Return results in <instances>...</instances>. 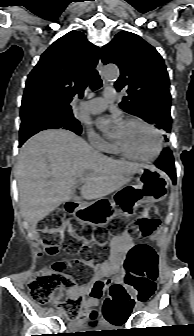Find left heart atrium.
Masks as SVG:
<instances>
[{
	"mask_svg": "<svg viewBox=\"0 0 194 336\" xmlns=\"http://www.w3.org/2000/svg\"><path fill=\"white\" fill-rule=\"evenodd\" d=\"M98 127L103 130L107 131L109 129H114L115 133H119L123 128V123L116 117H103L100 118L97 122Z\"/></svg>",
	"mask_w": 194,
	"mask_h": 336,
	"instance_id": "1",
	"label": "left heart atrium"
}]
</instances>
